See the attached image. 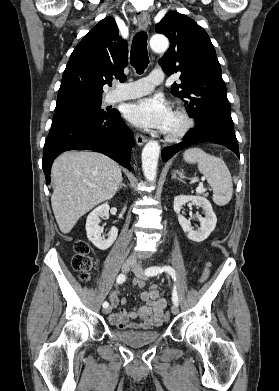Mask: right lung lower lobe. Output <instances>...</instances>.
I'll list each match as a JSON object with an SVG mask.
<instances>
[{
    "label": "right lung lower lobe",
    "instance_id": "obj_1",
    "mask_svg": "<svg viewBox=\"0 0 279 391\" xmlns=\"http://www.w3.org/2000/svg\"><path fill=\"white\" fill-rule=\"evenodd\" d=\"M134 144L133 133L117 110L102 118L53 120L43 151L46 184L51 181V165L55 157L64 151L95 150L131 170L130 152Z\"/></svg>",
    "mask_w": 279,
    "mask_h": 391
}]
</instances>
